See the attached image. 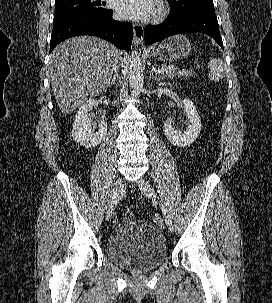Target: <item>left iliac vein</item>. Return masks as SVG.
<instances>
[{"mask_svg":"<svg viewBox=\"0 0 272 303\" xmlns=\"http://www.w3.org/2000/svg\"><path fill=\"white\" fill-rule=\"evenodd\" d=\"M138 186H139V189L141 190V192L145 196H147L149 198H152V199L156 198V193H155L153 187L150 185V183L147 180H145V179L139 180L138 181ZM168 215H169L168 213L164 214L165 223H166L168 229L170 231H173V229H174L173 222H172V219H171L170 215L169 216Z\"/></svg>","mask_w":272,"mask_h":303,"instance_id":"left-iliac-vein-1","label":"left iliac vein"}]
</instances>
